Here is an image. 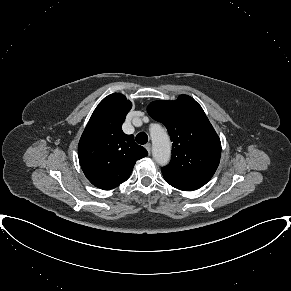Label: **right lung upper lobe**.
I'll list each match as a JSON object with an SVG mask.
<instances>
[{"mask_svg": "<svg viewBox=\"0 0 291 291\" xmlns=\"http://www.w3.org/2000/svg\"><path fill=\"white\" fill-rule=\"evenodd\" d=\"M132 103L120 93L105 97L93 112L78 145V157L87 179L96 187L113 189L126 181L137 160L148 155L122 131Z\"/></svg>", "mask_w": 291, "mask_h": 291, "instance_id": "right-lung-upper-lobe-1", "label": "right lung upper lobe"}]
</instances>
